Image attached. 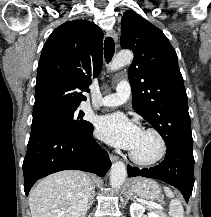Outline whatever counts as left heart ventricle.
<instances>
[{
    "instance_id": "obj_1",
    "label": "left heart ventricle",
    "mask_w": 211,
    "mask_h": 217,
    "mask_svg": "<svg viewBox=\"0 0 211 217\" xmlns=\"http://www.w3.org/2000/svg\"><path fill=\"white\" fill-rule=\"evenodd\" d=\"M131 151L138 158L149 160L158 155L160 143L154 134L142 131L136 145Z\"/></svg>"
}]
</instances>
